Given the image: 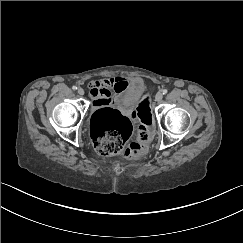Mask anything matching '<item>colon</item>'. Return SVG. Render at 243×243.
Wrapping results in <instances>:
<instances>
[{
  "label": "colon",
  "mask_w": 243,
  "mask_h": 243,
  "mask_svg": "<svg viewBox=\"0 0 243 243\" xmlns=\"http://www.w3.org/2000/svg\"><path fill=\"white\" fill-rule=\"evenodd\" d=\"M141 125L137 139L131 141L133 127L130 120L118 110L101 106L90 119V127L95 148L103 156L121 155L125 158H137L142 155L153 133V116L149 98H144L136 110Z\"/></svg>",
  "instance_id": "obj_1"
}]
</instances>
